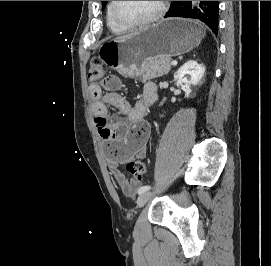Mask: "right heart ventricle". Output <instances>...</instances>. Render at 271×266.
<instances>
[{"label": "right heart ventricle", "instance_id": "1", "mask_svg": "<svg viewBox=\"0 0 271 266\" xmlns=\"http://www.w3.org/2000/svg\"><path fill=\"white\" fill-rule=\"evenodd\" d=\"M112 1H109L106 8V21L109 29L115 34L125 33L128 29L116 23L111 14Z\"/></svg>", "mask_w": 271, "mask_h": 266}]
</instances>
